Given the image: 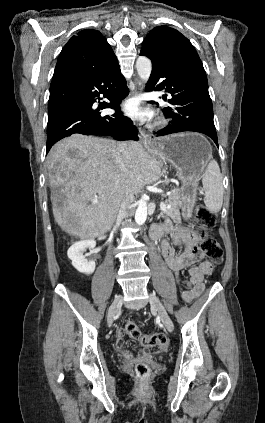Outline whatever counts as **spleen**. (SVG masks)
Returning a JSON list of instances; mask_svg holds the SVG:
<instances>
[{"label": "spleen", "mask_w": 265, "mask_h": 423, "mask_svg": "<svg viewBox=\"0 0 265 423\" xmlns=\"http://www.w3.org/2000/svg\"><path fill=\"white\" fill-rule=\"evenodd\" d=\"M203 190L205 192L204 203L212 213L221 210L223 204L222 175L217 161L212 160L202 176Z\"/></svg>", "instance_id": "spleen-1"}]
</instances>
